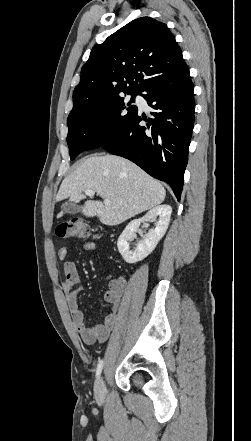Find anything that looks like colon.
Listing matches in <instances>:
<instances>
[{"label": "colon", "mask_w": 251, "mask_h": 441, "mask_svg": "<svg viewBox=\"0 0 251 441\" xmlns=\"http://www.w3.org/2000/svg\"><path fill=\"white\" fill-rule=\"evenodd\" d=\"M56 234L61 238L85 239L93 235L90 226L81 218H74L60 223Z\"/></svg>", "instance_id": "obj_1"}]
</instances>
